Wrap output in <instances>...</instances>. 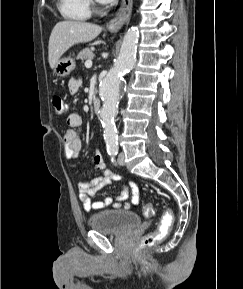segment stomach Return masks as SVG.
Returning a JSON list of instances; mask_svg holds the SVG:
<instances>
[{
	"label": "stomach",
	"mask_w": 243,
	"mask_h": 289,
	"mask_svg": "<svg viewBox=\"0 0 243 289\" xmlns=\"http://www.w3.org/2000/svg\"><path fill=\"white\" fill-rule=\"evenodd\" d=\"M75 68V61L71 57L59 59L54 67V72L60 77H65Z\"/></svg>",
	"instance_id": "1"
}]
</instances>
